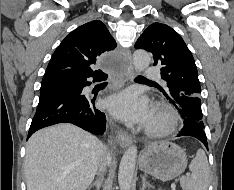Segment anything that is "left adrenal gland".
I'll return each mask as SVG.
<instances>
[{
  "instance_id": "left-adrenal-gland-1",
  "label": "left adrenal gland",
  "mask_w": 234,
  "mask_h": 190,
  "mask_svg": "<svg viewBox=\"0 0 234 190\" xmlns=\"http://www.w3.org/2000/svg\"><path fill=\"white\" fill-rule=\"evenodd\" d=\"M153 188V186L146 180L145 176H142V188L141 190H145V188Z\"/></svg>"
}]
</instances>
